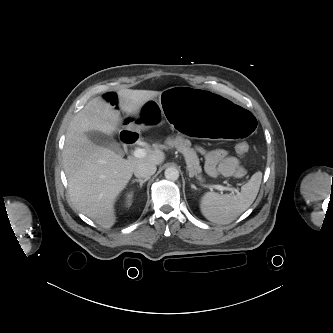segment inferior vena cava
<instances>
[{"mask_svg":"<svg viewBox=\"0 0 333 333\" xmlns=\"http://www.w3.org/2000/svg\"><path fill=\"white\" fill-rule=\"evenodd\" d=\"M156 165L152 163H139L134 169V174L138 178H150L156 172Z\"/></svg>","mask_w":333,"mask_h":333,"instance_id":"1","label":"inferior vena cava"}]
</instances>
